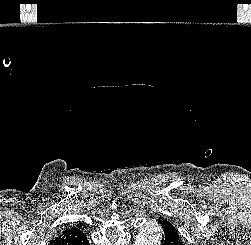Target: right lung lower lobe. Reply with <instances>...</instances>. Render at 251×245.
Wrapping results in <instances>:
<instances>
[{"mask_svg": "<svg viewBox=\"0 0 251 245\" xmlns=\"http://www.w3.org/2000/svg\"><path fill=\"white\" fill-rule=\"evenodd\" d=\"M50 245H89V242L81 230L70 228L59 232L50 241Z\"/></svg>", "mask_w": 251, "mask_h": 245, "instance_id": "98d812e1", "label": "right lung lower lobe"}]
</instances>
